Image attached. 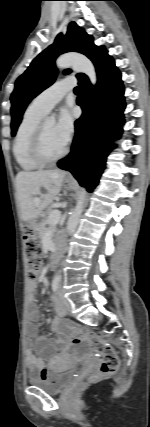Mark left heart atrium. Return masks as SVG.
<instances>
[{
	"mask_svg": "<svg viewBox=\"0 0 150 427\" xmlns=\"http://www.w3.org/2000/svg\"><path fill=\"white\" fill-rule=\"evenodd\" d=\"M55 133L63 146H66L74 133V119L68 110H63L59 116L58 122L55 125Z\"/></svg>",
	"mask_w": 150,
	"mask_h": 427,
	"instance_id": "obj_1",
	"label": "left heart atrium"
}]
</instances>
